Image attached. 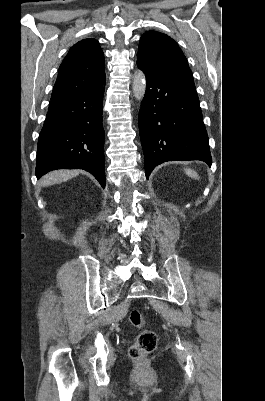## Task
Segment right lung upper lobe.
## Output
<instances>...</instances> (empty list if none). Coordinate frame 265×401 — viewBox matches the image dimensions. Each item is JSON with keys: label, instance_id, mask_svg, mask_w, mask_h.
Returning <instances> with one entry per match:
<instances>
[{"label": "right lung upper lobe", "instance_id": "right-lung-upper-lobe-1", "mask_svg": "<svg viewBox=\"0 0 265 401\" xmlns=\"http://www.w3.org/2000/svg\"><path fill=\"white\" fill-rule=\"evenodd\" d=\"M104 54L97 40L79 41L69 50L59 67L51 100H59L95 90L105 84Z\"/></svg>", "mask_w": 265, "mask_h": 401}]
</instances>
